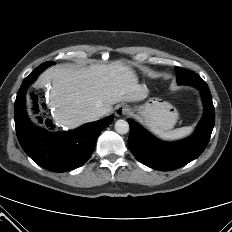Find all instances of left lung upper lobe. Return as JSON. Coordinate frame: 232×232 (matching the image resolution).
<instances>
[{"label": "left lung upper lobe", "mask_w": 232, "mask_h": 232, "mask_svg": "<svg viewBox=\"0 0 232 232\" xmlns=\"http://www.w3.org/2000/svg\"><path fill=\"white\" fill-rule=\"evenodd\" d=\"M176 73H177V82L178 84L184 83L188 79V70H185L183 68H175Z\"/></svg>", "instance_id": "5c2ea615"}]
</instances>
